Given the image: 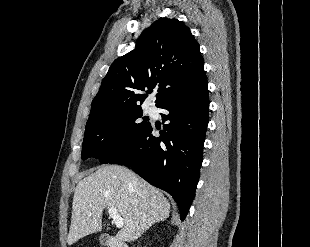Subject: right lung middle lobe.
Returning <instances> with one entry per match:
<instances>
[{
	"label": "right lung middle lobe",
	"mask_w": 310,
	"mask_h": 247,
	"mask_svg": "<svg viewBox=\"0 0 310 247\" xmlns=\"http://www.w3.org/2000/svg\"><path fill=\"white\" fill-rule=\"evenodd\" d=\"M141 117V108H136L87 122L82 159L95 157L106 164L127 151L150 125L146 120L140 122Z\"/></svg>",
	"instance_id": "right-lung-middle-lobe-1"
}]
</instances>
